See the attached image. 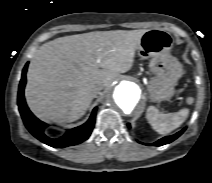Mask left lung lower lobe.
I'll list each match as a JSON object with an SVG mask.
<instances>
[{
  "label": "left lung lower lobe",
  "instance_id": "1",
  "mask_svg": "<svg viewBox=\"0 0 212 183\" xmlns=\"http://www.w3.org/2000/svg\"><path fill=\"white\" fill-rule=\"evenodd\" d=\"M130 127V125H128ZM185 131V128L181 131H179L178 133L172 135V136H167V137H164L160 140H158L157 142L155 143H152L150 144L151 146H162V145H165V144H168L172 141H174L175 139H177L183 132Z\"/></svg>",
  "mask_w": 212,
  "mask_h": 183
}]
</instances>
